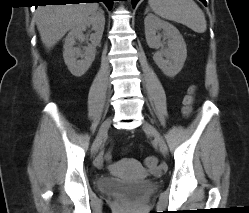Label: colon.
<instances>
[{"mask_svg": "<svg viewBox=\"0 0 249 213\" xmlns=\"http://www.w3.org/2000/svg\"><path fill=\"white\" fill-rule=\"evenodd\" d=\"M196 89L194 87L189 88L187 94L183 99V113L185 115L191 114L195 101ZM143 164L147 170H156L159 167V159L156 156H147Z\"/></svg>", "mask_w": 249, "mask_h": 213, "instance_id": "5ec220e1", "label": "colon"}]
</instances>
